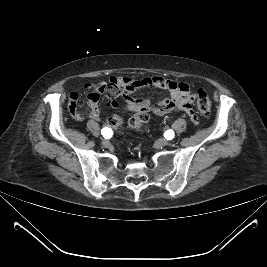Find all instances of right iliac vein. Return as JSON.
<instances>
[{
	"label": "right iliac vein",
	"mask_w": 267,
	"mask_h": 267,
	"mask_svg": "<svg viewBox=\"0 0 267 267\" xmlns=\"http://www.w3.org/2000/svg\"><path fill=\"white\" fill-rule=\"evenodd\" d=\"M101 143H102L103 147H109V145H110V142L106 139H104Z\"/></svg>",
	"instance_id": "1"
}]
</instances>
